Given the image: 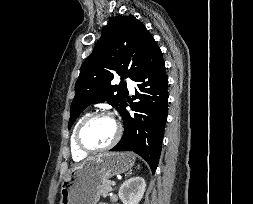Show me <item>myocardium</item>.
Wrapping results in <instances>:
<instances>
[{"mask_svg": "<svg viewBox=\"0 0 253 204\" xmlns=\"http://www.w3.org/2000/svg\"><path fill=\"white\" fill-rule=\"evenodd\" d=\"M98 117H107L111 118L115 124H116V134L112 141L107 144L106 146L99 147V148H90L86 146L83 141H82V131L84 127L93 119L98 118ZM122 136V127L121 124L110 114L104 111H98V112H93L88 114L79 124L77 130H76V135H75V140H76V145L84 153H99L103 151H107L111 148H113L120 140Z\"/></svg>", "mask_w": 253, "mask_h": 204, "instance_id": "f54148a6", "label": "myocardium"}]
</instances>
